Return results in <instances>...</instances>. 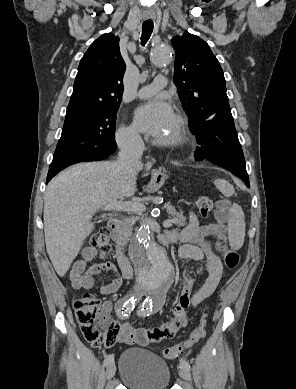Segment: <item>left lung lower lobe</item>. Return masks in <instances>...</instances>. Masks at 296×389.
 <instances>
[{
	"mask_svg": "<svg viewBox=\"0 0 296 389\" xmlns=\"http://www.w3.org/2000/svg\"><path fill=\"white\" fill-rule=\"evenodd\" d=\"M195 151L197 161L208 160L231 171L250 187L246 163L238 140L231 110L216 113L201 125Z\"/></svg>",
	"mask_w": 296,
	"mask_h": 389,
	"instance_id": "0a47b994",
	"label": "left lung lower lobe"
}]
</instances>
